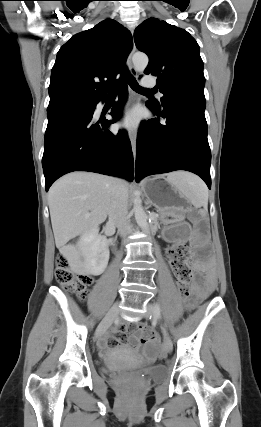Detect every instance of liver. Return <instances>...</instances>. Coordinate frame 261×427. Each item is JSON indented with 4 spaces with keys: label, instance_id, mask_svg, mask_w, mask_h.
Instances as JSON below:
<instances>
[{
    "label": "liver",
    "instance_id": "liver-1",
    "mask_svg": "<svg viewBox=\"0 0 261 427\" xmlns=\"http://www.w3.org/2000/svg\"><path fill=\"white\" fill-rule=\"evenodd\" d=\"M168 177L179 178L180 173ZM113 185L114 178L91 172H72L53 184L48 205L55 244L61 253L72 249L66 245L69 240L106 220Z\"/></svg>",
    "mask_w": 261,
    "mask_h": 427
}]
</instances>
